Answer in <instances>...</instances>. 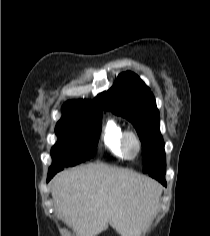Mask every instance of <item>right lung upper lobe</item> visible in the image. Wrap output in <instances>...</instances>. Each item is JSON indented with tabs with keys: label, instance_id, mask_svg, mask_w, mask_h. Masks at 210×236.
I'll return each mask as SVG.
<instances>
[{
	"label": "right lung upper lobe",
	"instance_id": "1",
	"mask_svg": "<svg viewBox=\"0 0 210 236\" xmlns=\"http://www.w3.org/2000/svg\"><path fill=\"white\" fill-rule=\"evenodd\" d=\"M103 106V94H99L94 100H69L63 107L62 111L72 113H84L91 111H101Z\"/></svg>",
	"mask_w": 210,
	"mask_h": 236
}]
</instances>
